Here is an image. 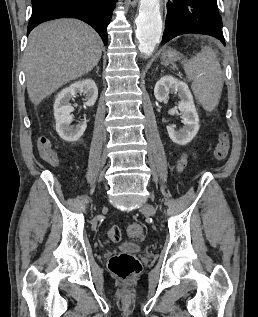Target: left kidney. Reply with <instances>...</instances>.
Segmentation results:
<instances>
[{"mask_svg":"<svg viewBox=\"0 0 258 317\" xmlns=\"http://www.w3.org/2000/svg\"><path fill=\"white\" fill-rule=\"evenodd\" d=\"M178 92L180 98L178 102V108L182 112V122H184L183 128L175 130L173 126H166L170 138L177 144H188L194 138L199 130V116L195 108L193 96L191 90L183 80H178L171 74L162 76L160 80H157L154 88L155 98L157 100H166L168 92Z\"/></svg>","mask_w":258,"mask_h":317,"instance_id":"1","label":"left kidney"}]
</instances>
